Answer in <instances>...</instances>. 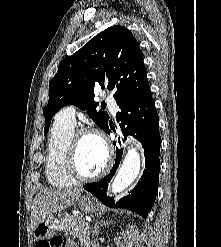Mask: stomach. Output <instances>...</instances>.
Instances as JSON below:
<instances>
[{
  "instance_id": "obj_1",
  "label": "stomach",
  "mask_w": 221,
  "mask_h": 247,
  "mask_svg": "<svg viewBox=\"0 0 221 247\" xmlns=\"http://www.w3.org/2000/svg\"><path fill=\"white\" fill-rule=\"evenodd\" d=\"M78 206L86 213H97V215H101L99 206L95 205L88 196H80L78 199ZM56 229L57 225L55 224L54 216H47L45 220L35 226L33 230L34 237L37 240L49 239L55 234Z\"/></svg>"
}]
</instances>
